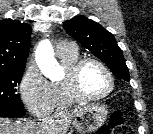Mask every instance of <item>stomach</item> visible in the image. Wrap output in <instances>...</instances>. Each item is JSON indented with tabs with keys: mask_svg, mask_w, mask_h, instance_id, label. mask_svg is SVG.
<instances>
[{
	"mask_svg": "<svg viewBox=\"0 0 153 134\" xmlns=\"http://www.w3.org/2000/svg\"><path fill=\"white\" fill-rule=\"evenodd\" d=\"M107 109L102 104H92L83 108L75 117L73 126L79 134H86L98 130L107 119Z\"/></svg>",
	"mask_w": 153,
	"mask_h": 134,
	"instance_id": "1",
	"label": "stomach"
}]
</instances>
